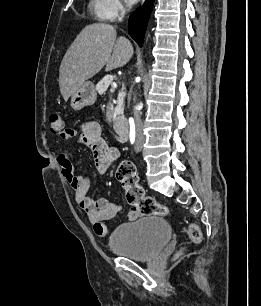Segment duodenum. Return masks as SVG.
<instances>
[{
  "mask_svg": "<svg viewBox=\"0 0 261 306\" xmlns=\"http://www.w3.org/2000/svg\"><path fill=\"white\" fill-rule=\"evenodd\" d=\"M113 127L115 131L122 137H126L129 134V124L128 121L122 117L117 116L113 120Z\"/></svg>",
  "mask_w": 261,
  "mask_h": 306,
  "instance_id": "obj_1",
  "label": "duodenum"
}]
</instances>
